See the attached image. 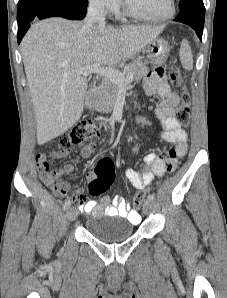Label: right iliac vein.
I'll list each match as a JSON object with an SVG mask.
<instances>
[{"label":"right iliac vein","instance_id":"1","mask_svg":"<svg viewBox=\"0 0 227 298\" xmlns=\"http://www.w3.org/2000/svg\"><path fill=\"white\" fill-rule=\"evenodd\" d=\"M66 216L69 221H74L78 216V210L75 207H71L68 209Z\"/></svg>","mask_w":227,"mask_h":298}]
</instances>
